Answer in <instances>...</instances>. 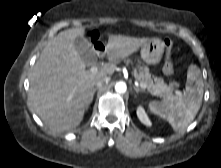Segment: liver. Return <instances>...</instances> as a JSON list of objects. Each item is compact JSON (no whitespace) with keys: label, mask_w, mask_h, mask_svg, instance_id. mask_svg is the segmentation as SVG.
<instances>
[{"label":"liver","mask_w":221,"mask_h":168,"mask_svg":"<svg viewBox=\"0 0 221 168\" xmlns=\"http://www.w3.org/2000/svg\"><path fill=\"white\" fill-rule=\"evenodd\" d=\"M84 35L82 28L60 32L45 46L30 77L32 107L44 124L56 132L76 128L83 120L97 80L112 75L117 63L149 40L110 35L106 45L109 62L92 73L86 70V64L74 45L78 38L87 41Z\"/></svg>","instance_id":"1"}]
</instances>
